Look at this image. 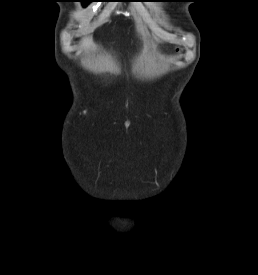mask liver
I'll return each instance as SVG.
<instances>
[{
  "label": "liver",
  "instance_id": "liver-1",
  "mask_svg": "<svg viewBox=\"0 0 258 275\" xmlns=\"http://www.w3.org/2000/svg\"><path fill=\"white\" fill-rule=\"evenodd\" d=\"M82 42H83V45H84L85 47H89V46L92 44V41H91L90 38H84V39L82 40Z\"/></svg>",
  "mask_w": 258,
  "mask_h": 275
}]
</instances>
